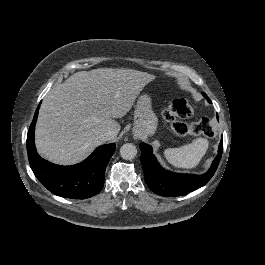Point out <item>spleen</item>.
Instances as JSON below:
<instances>
[{
    "mask_svg": "<svg viewBox=\"0 0 265 265\" xmlns=\"http://www.w3.org/2000/svg\"><path fill=\"white\" fill-rule=\"evenodd\" d=\"M209 146L207 138L199 137L183 148L164 150L163 156L166 162L175 169L191 170L199 166Z\"/></svg>",
    "mask_w": 265,
    "mask_h": 265,
    "instance_id": "spleen-1",
    "label": "spleen"
}]
</instances>
